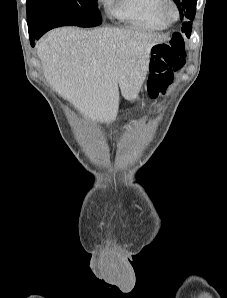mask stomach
<instances>
[{
	"label": "stomach",
	"instance_id": "0dacf381",
	"mask_svg": "<svg viewBox=\"0 0 227 298\" xmlns=\"http://www.w3.org/2000/svg\"><path fill=\"white\" fill-rule=\"evenodd\" d=\"M151 74H154V71L150 68Z\"/></svg>",
	"mask_w": 227,
	"mask_h": 298
}]
</instances>
